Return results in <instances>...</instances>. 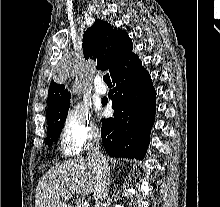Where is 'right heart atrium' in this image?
<instances>
[{"instance_id":"right-heart-atrium-1","label":"right heart atrium","mask_w":220,"mask_h":207,"mask_svg":"<svg viewBox=\"0 0 220 207\" xmlns=\"http://www.w3.org/2000/svg\"><path fill=\"white\" fill-rule=\"evenodd\" d=\"M100 133L89 115L79 109L64 118L59 135L62 150L80 153L99 140Z\"/></svg>"}]
</instances>
